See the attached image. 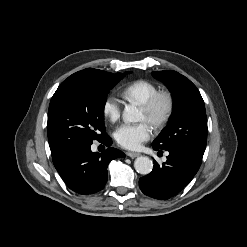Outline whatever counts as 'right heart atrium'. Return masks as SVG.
<instances>
[{"label":"right heart atrium","instance_id":"right-heart-atrium-1","mask_svg":"<svg viewBox=\"0 0 247 247\" xmlns=\"http://www.w3.org/2000/svg\"><path fill=\"white\" fill-rule=\"evenodd\" d=\"M102 114L110 122H116L121 115L119 100L112 95L107 96L102 103Z\"/></svg>","mask_w":247,"mask_h":247}]
</instances>
